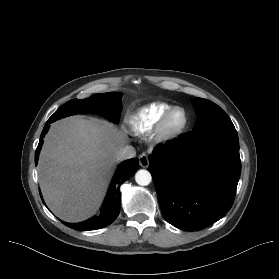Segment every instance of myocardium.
I'll return each instance as SVG.
<instances>
[{"mask_svg": "<svg viewBox=\"0 0 279 279\" xmlns=\"http://www.w3.org/2000/svg\"><path fill=\"white\" fill-rule=\"evenodd\" d=\"M177 111L182 112L183 122L174 130L169 128V119ZM189 124V117L187 111L179 106H174L168 109L161 117L155 130V137L160 142H170L179 138L187 129Z\"/></svg>", "mask_w": 279, "mask_h": 279, "instance_id": "myocardium-1", "label": "myocardium"}]
</instances>
